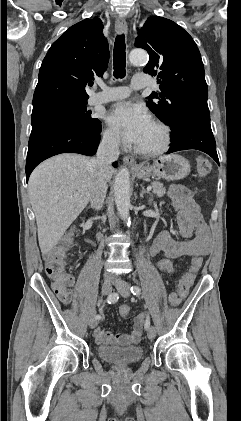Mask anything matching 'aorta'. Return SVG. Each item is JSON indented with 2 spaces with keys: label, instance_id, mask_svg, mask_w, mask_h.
I'll use <instances>...</instances> for the list:
<instances>
[{
  "label": "aorta",
  "instance_id": "762f6f07",
  "mask_svg": "<svg viewBox=\"0 0 241 421\" xmlns=\"http://www.w3.org/2000/svg\"><path fill=\"white\" fill-rule=\"evenodd\" d=\"M133 65H143L148 62V54L143 49H134L129 54ZM114 200L117 211L122 219L129 222L130 209V175L126 167L121 168L114 183Z\"/></svg>",
  "mask_w": 241,
  "mask_h": 421
}]
</instances>
